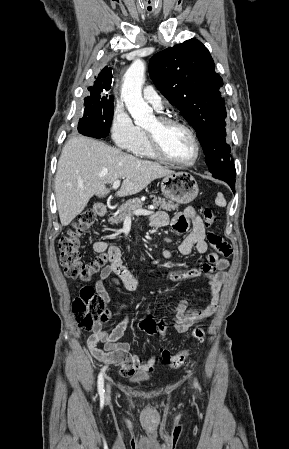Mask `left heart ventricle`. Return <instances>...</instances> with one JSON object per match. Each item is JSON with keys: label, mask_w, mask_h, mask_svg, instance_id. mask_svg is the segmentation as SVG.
<instances>
[{"label": "left heart ventricle", "mask_w": 289, "mask_h": 449, "mask_svg": "<svg viewBox=\"0 0 289 449\" xmlns=\"http://www.w3.org/2000/svg\"><path fill=\"white\" fill-rule=\"evenodd\" d=\"M147 130L159 133L165 152L173 159L188 162L195 157V145L184 129L178 126L160 128L155 119L148 125Z\"/></svg>", "instance_id": "b2bd125f"}]
</instances>
